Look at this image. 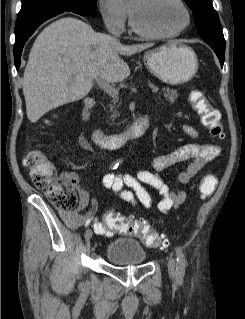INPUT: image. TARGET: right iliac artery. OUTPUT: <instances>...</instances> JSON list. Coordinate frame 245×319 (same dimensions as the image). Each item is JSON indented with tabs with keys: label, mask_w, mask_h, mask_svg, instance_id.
<instances>
[{
	"label": "right iliac artery",
	"mask_w": 245,
	"mask_h": 319,
	"mask_svg": "<svg viewBox=\"0 0 245 319\" xmlns=\"http://www.w3.org/2000/svg\"><path fill=\"white\" fill-rule=\"evenodd\" d=\"M121 162H122V160H117L116 162L112 163L111 169H116Z\"/></svg>",
	"instance_id": "82829eb1"
}]
</instances>
